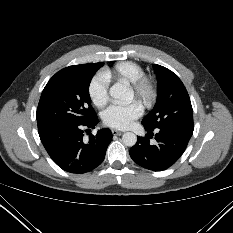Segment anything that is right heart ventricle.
<instances>
[{
    "label": "right heart ventricle",
    "instance_id": "1",
    "mask_svg": "<svg viewBox=\"0 0 233 233\" xmlns=\"http://www.w3.org/2000/svg\"><path fill=\"white\" fill-rule=\"evenodd\" d=\"M102 73L108 80L116 78L128 83H134L144 75L143 68L132 61H122L115 64L113 69H106Z\"/></svg>",
    "mask_w": 233,
    "mask_h": 233
}]
</instances>
